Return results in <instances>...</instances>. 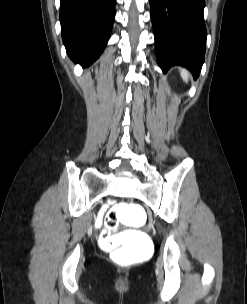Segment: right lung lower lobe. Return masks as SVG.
<instances>
[{"label":"right lung lower lobe","instance_id":"obj_1","mask_svg":"<svg viewBox=\"0 0 247 304\" xmlns=\"http://www.w3.org/2000/svg\"><path fill=\"white\" fill-rule=\"evenodd\" d=\"M116 0H60L64 45L75 63L92 64L110 37Z\"/></svg>","mask_w":247,"mask_h":304}]
</instances>
